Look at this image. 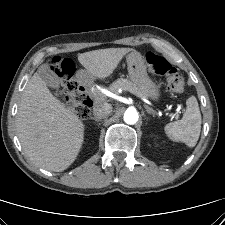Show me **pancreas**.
Here are the masks:
<instances>
[{
	"label": "pancreas",
	"mask_w": 225,
	"mask_h": 225,
	"mask_svg": "<svg viewBox=\"0 0 225 225\" xmlns=\"http://www.w3.org/2000/svg\"><path fill=\"white\" fill-rule=\"evenodd\" d=\"M119 89L129 91L137 96H144L143 93L128 79H118L110 86V90L114 93H117Z\"/></svg>",
	"instance_id": "pancreas-1"
}]
</instances>
